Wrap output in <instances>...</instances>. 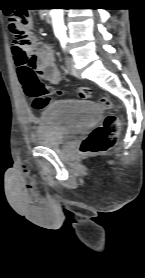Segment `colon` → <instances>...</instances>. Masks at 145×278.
<instances>
[{
  "label": "colon",
  "mask_w": 145,
  "mask_h": 278,
  "mask_svg": "<svg viewBox=\"0 0 145 278\" xmlns=\"http://www.w3.org/2000/svg\"><path fill=\"white\" fill-rule=\"evenodd\" d=\"M7 23L15 41L24 51L32 50L30 36V16L25 10H16L7 16ZM22 88L36 110L43 109L52 101L51 95H60V90H54L45 85L34 72H28L22 78ZM76 94L81 99H88L92 94L89 87H79ZM100 103L105 108H112L113 102L108 97H102ZM120 128V120L110 114L104 121L95 127L82 141L80 151L85 155H95L109 150L115 143Z\"/></svg>",
  "instance_id": "5ec220e1"
}]
</instances>
